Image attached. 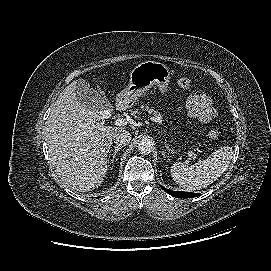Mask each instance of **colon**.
Here are the masks:
<instances>
[{
    "label": "colon",
    "instance_id": "obj_1",
    "mask_svg": "<svg viewBox=\"0 0 271 271\" xmlns=\"http://www.w3.org/2000/svg\"><path fill=\"white\" fill-rule=\"evenodd\" d=\"M178 85L183 89H190L192 87V81L188 77H181L177 81ZM220 131L218 128H212L208 131V136L211 139H215L219 136Z\"/></svg>",
    "mask_w": 271,
    "mask_h": 271
}]
</instances>
